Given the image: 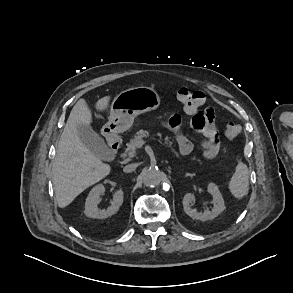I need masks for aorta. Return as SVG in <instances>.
Masks as SVG:
<instances>
[{
    "label": "aorta",
    "mask_w": 293,
    "mask_h": 293,
    "mask_svg": "<svg viewBox=\"0 0 293 293\" xmlns=\"http://www.w3.org/2000/svg\"><path fill=\"white\" fill-rule=\"evenodd\" d=\"M162 172L158 168H149L143 171V183L147 187H154L160 184Z\"/></svg>",
    "instance_id": "obj_1"
}]
</instances>
